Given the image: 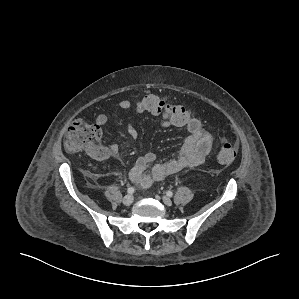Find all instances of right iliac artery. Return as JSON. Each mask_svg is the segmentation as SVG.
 <instances>
[{
	"instance_id": "obj_1",
	"label": "right iliac artery",
	"mask_w": 299,
	"mask_h": 299,
	"mask_svg": "<svg viewBox=\"0 0 299 299\" xmlns=\"http://www.w3.org/2000/svg\"><path fill=\"white\" fill-rule=\"evenodd\" d=\"M134 191H135V188H134V187H129V188L127 189V192H128L129 194H133Z\"/></svg>"
}]
</instances>
